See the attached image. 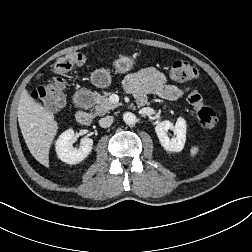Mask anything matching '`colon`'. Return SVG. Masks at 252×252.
Instances as JSON below:
<instances>
[{
    "mask_svg": "<svg viewBox=\"0 0 252 252\" xmlns=\"http://www.w3.org/2000/svg\"><path fill=\"white\" fill-rule=\"evenodd\" d=\"M86 57L82 53H72L60 58L55 63V69L62 73L72 68L84 65ZM170 77L177 82H187L198 76L197 69L184 60L175 61L170 67ZM187 100L192 105L196 118L200 125L211 128L218 122V114L210 106L206 105L201 93L195 89L188 88ZM32 97L40 101L50 109H58L65 102V84L60 77H54L46 85L35 88Z\"/></svg>",
    "mask_w": 252,
    "mask_h": 252,
    "instance_id": "5ec220e1",
    "label": "colon"
}]
</instances>
